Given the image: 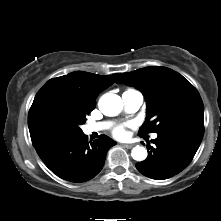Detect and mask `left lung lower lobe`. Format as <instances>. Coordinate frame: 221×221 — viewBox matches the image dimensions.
<instances>
[{"label":"left lung lower lobe","instance_id":"obj_1","mask_svg":"<svg viewBox=\"0 0 221 221\" xmlns=\"http://www.w3.org/2000/svg\"><path fill=\"white\" fill-rule=\"evenodd\" d=\"M204 134V126L179 125L157 133L148 157L136 164L143 175L164 180L181 172L193 159Z\"/></svg>","mask_w":221,"mask_h":221}]
</instances>
